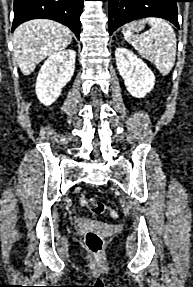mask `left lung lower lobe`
<instances>
[{
	"label": "left lung lower lobe",
	"instance_id": "left-lung-lower-lobe-1",
	"mask_svg": "<svg viewBox=\"0 0 193 287\" xmlns=\"http://www.w3.org/2000/svg\"><path fill=\"white\" fill-rule=\"evenodd\" d=\"M109 2V35L130 21L159 17L179 28L177 5L179 0H104Z\"/></svg>",
	"mask_w": 193,
	"mask_h": 287
}]
</instances>
